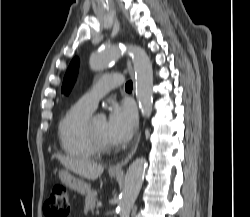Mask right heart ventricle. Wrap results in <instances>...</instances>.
I'll use <instances>...</instances> for the list:
<instances>
[{
	"label": "right heart ventricle",
	"instance_id": "1",
	"mask_svg": "<svg viewBox=\"0 0 250 217\" xmlns=\"http://www.w3.org/2000/svg\"><path fill=\"white\" fill-rule=\"evenodd\" d=\"M93 109L80 100L73 103L62 116L58 124V138L62 150L74 158L88 159L97 151L90 143L86 132L85 122Z\"/></svg>",
	"mask_w": 250,
	"mask_h": 217
}]
</instances>
